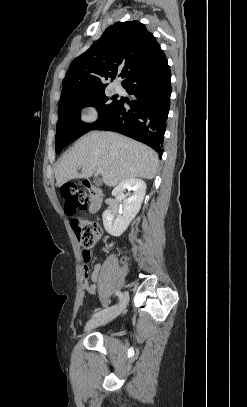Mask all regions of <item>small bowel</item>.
Masks as SVG:
<instances>
[{"mask_svg":"<svg viewBox=\"0 0 247 407\" xmlns=\"http://www.w3.org/2000/svg\"><path fill=\"white\" fill-rule=\"evenodd\" d=\"M91 257H92L91 252L89 254H86L83 252V254H82V258L84 261V288L88 293L93 294L96 292V289H97L96 282L99 279V272L101 271L102 266L100 264H96L94 266V270L91 275V279H92L93 283H89V281H88V278H89L88 263H89Z\"/></svg>","mask_w":247,"mask_h":407,"instance_id":"1","label":"small bowel"}]
</instances>
